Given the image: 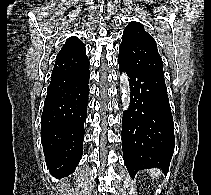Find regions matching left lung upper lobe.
<instances>
[{"mask_svg":"<svg viewBox=\"0 0 211 195\" xmlns=\"http://www.w3.org/2000/svg\"><path fill=\"white\" fill-rule=\"evenodd\" d=\"M119 54L127 63L137 68H145L165 82L157 44L142 24L130 22L124 29Z\"/></svg>","mask_w":211,"mask_h":195,"instance_id":"left-lung-upper-lobe-1","label":"left lung upper lobe"}]
</instances>
